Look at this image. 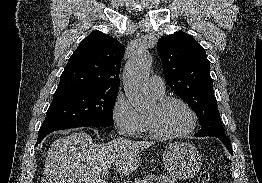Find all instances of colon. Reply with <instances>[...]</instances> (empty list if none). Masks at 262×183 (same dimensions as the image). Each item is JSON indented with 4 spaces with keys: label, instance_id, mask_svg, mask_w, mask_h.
<instances>
[{
    "label": "colon",
    "instance_id": "5ec220e1",
    "mask_svg": "<svg viewBox=\"0 0 262 183\" xmlns=\"http://www.w3.org/2000/svg\"><path fill=\"white\" fill-rule=\"evenodd\" d=\"M198 183H211V176L208 172H203L198 177Z\"/></svg>",
    "mask_w": 262,
    "mask_h": 183
}]
</instances>
